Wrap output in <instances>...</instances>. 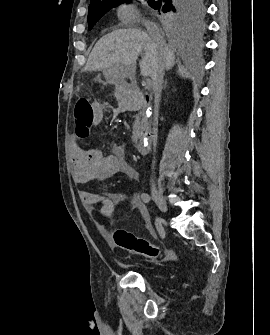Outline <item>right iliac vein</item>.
<instances>
[{
    "label": "right iliac vein",
    "instance_id": "obj_1",
    "mask_svg": "<svg viewBox=\"0 0 270 335\" xmlns=\"http://www.w3.org/2000/svg\"><path fill=\"white\" fill-rule=\"evenodd\" d=\"M152 197L162 212H167V203L163 195L155 188H152Z\"/></svg>",
    "mask_w": 270,
    "mask_h": 335
}]
</instances>
